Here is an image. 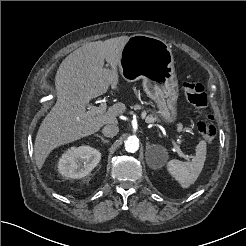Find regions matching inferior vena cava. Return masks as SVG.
I'll return each instance as SVG.
<instances>
[{
    "instance_id": "inferior-vena-cava-1",
    "label": "inferior vena cava",
    "mask_w": 246,
    "mask_h": 246,
    "mask_svg": "<svg viewBox=\"0 0 246 246\" xmlns=\"http://www.w3.org/2000/svg\"><path fill=\"white\" fill-rule=\"evenodd\" d=\"M118 132H119L118 126L112 124L106 125L102 129V133L106 137H114L118 134Z\"/></svg>"
}]
</instances>
